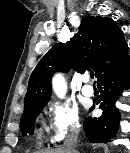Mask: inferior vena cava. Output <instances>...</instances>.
Segmentation results:
<instances>
[{
    "label": "inferior vena cava",
    "instance_id": "inferior-vena-cava-1",
    "mask_svg": "<svg viewBox=\"0 0 130 153\" xmlns=\"http://www.w3.org/2000/svg\"><path fill=\"white\" fill-rule=\"evenodd\" d=\"M79 131H80V128H74L72 131L71 137L69 139H67V141L65 142L66 150L68 153L71 152V150H72V152H74L73 145L76 142V138H77Z\"/></svg>",
    "mask_w": 130,
    "mask_h": 153
}]
</instances>
